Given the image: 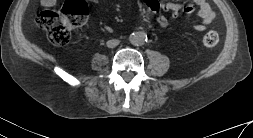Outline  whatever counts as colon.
Listing matches in <instances>:
<instances>
[{
	"instance_id": "obj_1",
	"label": "colon",
	"mask_w": 253,
	"mask_h": 138,
	"mask_svg": "<svg viewBox=\"0 0 253 138\" xmlns=\"http://www.w3.org/2000/svg\"><path fill=\"white\" fill-rule=\"evenodd\" d=\"M88 15V7L84 0H67L60 11L44 10L38 14V25L48 32L49 40L56 46H64L70 42L72 30L81 26ZM219 41L214 31L205 33L202 45L214 47Z\"/></svg>"
}]
</instances>
